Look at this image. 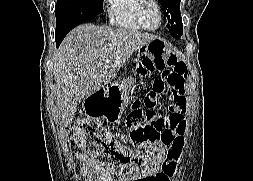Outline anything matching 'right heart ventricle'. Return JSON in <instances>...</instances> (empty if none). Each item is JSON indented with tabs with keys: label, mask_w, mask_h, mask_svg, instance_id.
I'll use <instances>...</instances> for the list:
<instances>
[{
	"label": "right heart ventricle",
	"mask_w": 253,
	"mask_h": 181,
	"mask_svg": "<svg viewBox=\"0 0 253 181\" xmlns=\"http://www.w3.org/2000/svg\"><path fill=\"white\" fill-rule=\"evenodd\" d=\"M104 3L110 24L126 31L142 30L134 16L136 0H105Z\"/></svg>",
	"instance_id": "obj_1"
}]
</instances>
